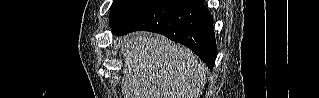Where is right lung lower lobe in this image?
Segmentation results:
<instances>
[{
	"label": "right lung lower lobe",
	"mask_w": 319,
	"mask_h": 98,
	"mask_svg": "<svg viewBox=\"0 0 319 98\" xmlns=\"http://www.w3.org/2000/svg\"><path fill=\"white\" fill-rule=\"evenodd\" d=\"M137 30L160 33L187 46L212 70L217 47L213 17L204 0H149L112 26L115 35Z\"/></svg>",
	"instance_id": "right-lung-lower-lobe-1"
}]
</instances>
